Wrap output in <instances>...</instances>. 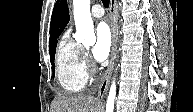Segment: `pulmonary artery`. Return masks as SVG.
I'll use <instances>...</instances> for the list:
<instances>
[{
	"label": "pulmonary artery",
	"instance_id": "e3ab8cb5",
	"mask_svg": "<svg viewBox=\"0 0 193 112\" xmlns=\"http://www.w3.org/2000/svg\"><path fill=\"white\" fill-rule=\"evenodd\" d=\"M91 15L94 18H101L104 15V11L100 5H94L91 9Z\"/></svg>",
	"mask_w": 193,
	"mask_h": 112
}]
</instances>
